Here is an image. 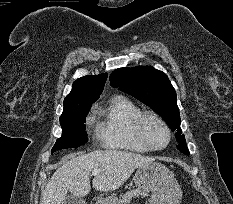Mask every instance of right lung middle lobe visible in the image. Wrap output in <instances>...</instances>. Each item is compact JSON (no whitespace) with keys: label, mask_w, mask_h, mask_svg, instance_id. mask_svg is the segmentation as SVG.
<instances>
[{"label":"right lung middle lobe","mask_w":233,"mask_h":204,"mask_svg":"<svg viewBox=\"0 0 233 204\" xmlns=\"http://www.w3.org/2000/svg\"><path fill=\"white\" fill-rule=\"evenodd\" d=\"M91 108L88 106H74L66 108L60 117L62 136L57 139L51 153L63 148H77L87 143L85 118Z\"/></svg>","instance_id":"dd1d6c3e"}]
</instances>
